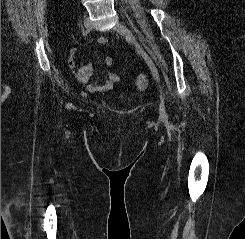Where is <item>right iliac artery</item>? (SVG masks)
Masks as SVG:
<instances>
[{
    "instance_id": "82829eb1",
    "label": "right iliac artery",
    "mask_w": 245,
    "mask_h": 239,
    "mask_svg": "<svg viewBox=\"0 0 245 239\" xmlns=\"http://www.w3.org/2000/svg\"><path fill=\"white\" fill-rule=\"evenodd\" d=\"M92 30V26L88 28L87 30L83 31V36L86 37Z\"/></svg>"
}]
</instances>
